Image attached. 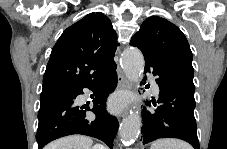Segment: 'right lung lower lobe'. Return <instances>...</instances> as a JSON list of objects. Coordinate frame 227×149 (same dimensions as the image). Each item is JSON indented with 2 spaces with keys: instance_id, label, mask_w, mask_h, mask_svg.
<instances>
[{
  "instance_id": "1",
  "label": "right lung lower lobe",
  "mask_w": 227,
  "mask_h": 149,
  "mask_svg": "<svg viewBox=\"0 0 227 149\" xmlns=\"http://www.w3.org/2000/svg\"><path fill=\"white\" fill-rule=\"evenodd\" d=\"M116 63L109 64L102 72L77 86L72 87L69 98L57 99L38 112L36 140L38 149L49 142L72 134H83L105 142L110 149L118 129L117 119L106 111V99L117 86ZM83 88L93 91V121L86 119L88 107L75 104V98L83 94ZM88 110H90L88 108Z\"/></svg>"
}]
</instances>
